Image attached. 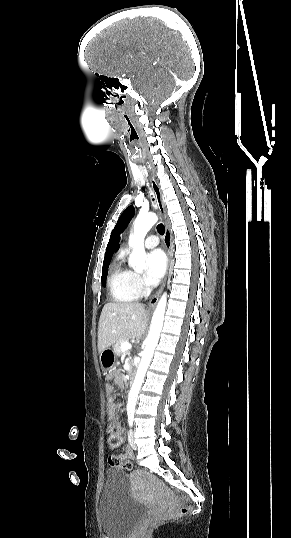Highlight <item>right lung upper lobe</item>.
Here are the masks:
<instances>
[{"mask_svg": "<svg viewBox=\"0 0 291 538\" xmlns=\"http://www.w3.org/2000/svg\"><path fill=\"white\" fill-rule=\"evenodd\" d=\"M119 248V244H118V240H117V237H116V233L114 231H112V234L110 236V240H109V243L107 245V248H106V252H105V257H104V262L105 261H110L111 260V257H112V254Z\"/></svg>", "mask_w": 291, "mask_h": 538, "instance_id": "cb5924a9", "label": "right lung upper lobe"}]
</instances>
